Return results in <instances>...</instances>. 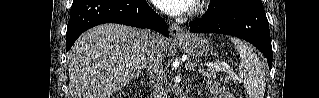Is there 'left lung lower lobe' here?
<instances>
[{
  "label": "left lung lower lobe",
  "mask_w": 319,
  "mask_h": 98,
  "mask_svg": "<svg viewBox=\"0 0 319 98\" xmlns=\"http://www.w3.org/2000/svg\"><path fill=\"white\" fill-rule=\"evenodd\" d=\"M195 33H221L242 38L252 43L272 66V46L269 23L261 0H239L221 14L207 17L206 13L189 23Z\"/></svg>",
  "instance_id": "left-lung-lower-lobe-1"
}]
</instances>
